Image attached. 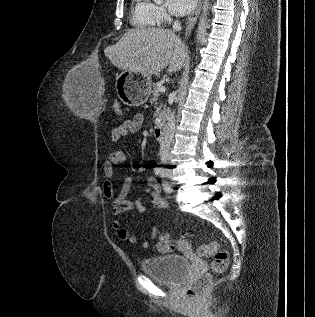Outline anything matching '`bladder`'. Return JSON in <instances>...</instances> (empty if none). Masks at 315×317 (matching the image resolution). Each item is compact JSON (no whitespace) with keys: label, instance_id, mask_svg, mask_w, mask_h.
Here are the masks:
<instances>
[{"label":"bladder","instance_id":"31cf9c89","mask_svg":"<svg viewBox=\"0 0 315 317\" xmlns=\"http://www.w3.org/2000/svg\"><path fill=\"white\" fill-rule=\"evenodd\" d=\"M142 270L159 283L176 286L186 278L190 270V262L176 254L156 256L144 259Z\"/></svg>","mask_w":315,"mask_h":317}]
</instances>
